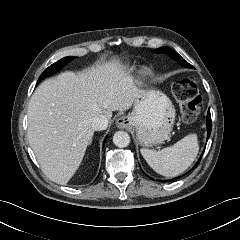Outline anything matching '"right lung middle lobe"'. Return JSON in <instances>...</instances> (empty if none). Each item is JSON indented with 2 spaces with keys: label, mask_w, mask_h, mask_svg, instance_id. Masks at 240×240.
Segmentation results:
<instances>
[{
  "label": "right lung middle lobe",
  "mask_w": 240,
  "mask_h": 240,
  "mask_svg": "<svg viewBox=\"0 0 240 240\" xmlns=\"http://www.w3.org/2000/svg\"><path fill=\"white\" fill-rule=\"evenodd\" d=\"M75 57H65L62 58L61 60L57 61L56 63L52 64L49 66L39 77L38 82L39 83L42 79H44L47 76H50L51 74H54L55 72L59 71L62 69L68 62H70L72 59Z\"/></svg>",
  "instance_id": "obj_1"
}]
</instances>
